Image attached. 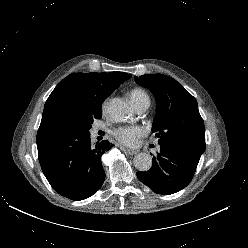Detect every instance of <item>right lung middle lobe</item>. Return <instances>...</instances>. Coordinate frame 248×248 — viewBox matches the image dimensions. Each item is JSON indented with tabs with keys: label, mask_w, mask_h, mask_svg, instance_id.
<instances>
[{
	"label": "right lung middle lobe",
	"mask_w": 248,
	"mask_h": 248,
	"mask_svg": "<svg viewBox=\"0 0 248 248\" xmlns=\"http://www.w3.org/2000/svg\"><path fill=\"white\" fill-rule=\"evenodd\" d=\"M101 117H102V111L95 113V114L87 117L83 121H80V122H77V123L71 125L70 127L77 130V131L88 133L90 128H91V124L93 123V120L94 119H100Z\"/></svg>",
	"instance_id": "1"
}]
</instances>
